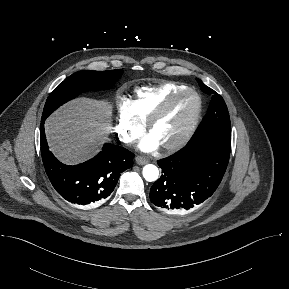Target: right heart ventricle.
<instances>
[{"mask_svg": "<svg viewBox=\"0 0 289 289\" xmlns=\"http://www.w3.org/2000/svg\"><path fill=\"white\" fill-rule=\"evenodd\" d=\"M180 83L169 82L155 86L140 87L135 90V97L131 101L137 118L143 123L149 115L173 92L185 88Z\"/></svg>", "mask_w": 289, "mask_h": 289, "instance_id": "right-heart-ventricle-1", "label": "right heart ventricle"}]
</instances>
